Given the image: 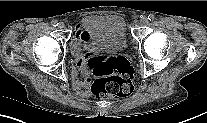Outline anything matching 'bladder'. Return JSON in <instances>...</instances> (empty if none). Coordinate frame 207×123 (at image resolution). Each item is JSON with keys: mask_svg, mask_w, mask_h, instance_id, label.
Masks as SVG:
<instances>
[{"mask_svg": "<svg viewBox=\"0 0 207 123\" xmlns=\"http://www.w3.org/2000/svg\"><path fill=\"white\" fill-rule=\"evenodd\" d=\"M78 43L87 52H117L126 46V27L118 15H89L80 22Z\"/></svg>", "mask_w": 207, "mask_h": 123, "instance_id": "bladder-1", "label": "bladder"}]
</instances>
